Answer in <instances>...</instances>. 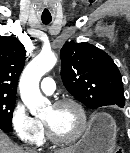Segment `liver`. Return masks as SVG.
<instances>
[{"label":"liver","mask_w":130,"mask_h":153,"mask_svg":"<svg viewBox=\"0 0 130 153\" xmlns=\"http://www.w3.org/2000/svg\"><path fill=\"white\" fill-rule=\"evenodd\" d=\"M72 150H60L57 153H71ZM74 151V150H73ZM0 153H26L23 149L13 144L9 137L0 130Z\"/></svg>","instance_id":"obj_1"}]
</instances>
